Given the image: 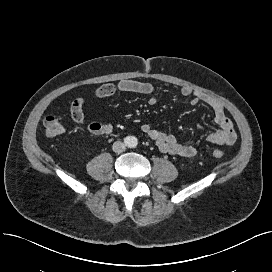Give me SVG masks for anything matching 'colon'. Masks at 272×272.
<instances>
[{
    "mask_svg": "<svg viewBox=\"0 0 272 272\" xmlns=\"http://www.w3.org/2000/svg\"><path fill=\"white\" fill-rule=\"evenodd\" d=\"M45 133L49 137H57L64 133L65 128L57 116L51 115L44 119ZM205 153L211 154L213 157L220 159L224 153L220 149L204 150Z\"/></svg>",
    "mask_w": 272,
    "mask_h": 272,
    "instance_id": "obj_1",
    "label": "colon"
}]
</instances>
